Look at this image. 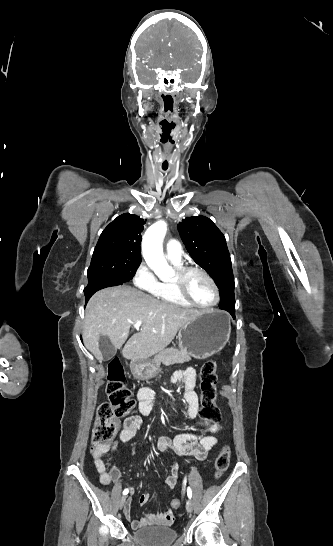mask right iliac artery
Returning <instances> with one entry per match:
<instances>
[{
	"mask_svg": "<svg viewBox=\"0 0 333 546\" xmlns=\"http://www.w3.org/2000/svg\"><path fill=\"white\" fill-rule=\"evenodd\" d=\"M128 493H129V490H128V489H124L123 495H126V494H128Z\"/></svg>",
	"mask_w": 333,
	"mask_h": 546,
	"instance_id": "1",
	"label": "right iliac artery"
}]
</instances>
